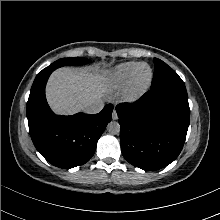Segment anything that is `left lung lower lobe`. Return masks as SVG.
Instances as JSON below:
<instances>
[{"label":"left lung lower lobe","instance_id":"0a47b994","mask_svg":"<svg viewBox=\"0 0 220 220\" xmlns=\"http://www.w3.org/2000/svg\"><path fill=\"white\" fill-rule=\"evenodd\" d=\"M124 158L146 171L159 170L180 154L189 126L188 96L150 89L134 103L116 106Z\"/></svg>","mask_w":220,"mask_h":220}]
</instances>
